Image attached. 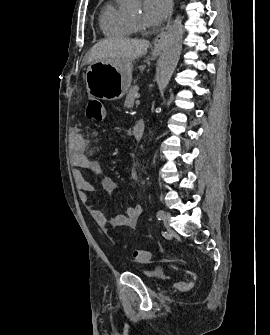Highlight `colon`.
Instances as JSON below:
<instances>
[{
  "label": "colon",
  "mask_w": 270,
  "mask_h": 335,
  "mask_svg": "<svg viewBox=\"0 0 270 335\" xmlns=\"http://www.w3.org/2000/svg\"><path fill=\"white\" fill-rule=\"evenodd\" d=\"M85 115L89 121L102 122L107 115L105 104L98 97L89 98ZM132 257L135 262L142 264L149 263L151 259L150 252L140 248L132 250Z\"/></svg>",
  "instance_id": "obj_1"
}]
</instances>
